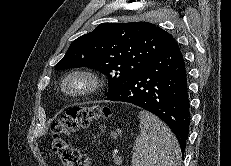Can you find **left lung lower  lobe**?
Listing matches in <instances>:
<instances>
[{"instance_id":"obj_1","label":"left lung lower lobe","mask_w":231,"mask_h":166,"mask_svg":"<svg viewBox=\"0 0 231 166\" xmlns=\"http://www.w3.org/2000/svg\"><path fill=\"white\" fill-rule=\"evenodd\" d=\"M107 100L132 103L158 116L174 132L184 155L190 104L185 62L174 38Z\"/></svg>"}]
</instances>
